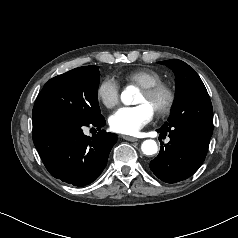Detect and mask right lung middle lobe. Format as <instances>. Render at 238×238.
Instances as JSON below:
<instances>
[{
    "label": "right lung middle lobe",
    "mask_w": 238,
    "mask_h": 238,
    "mask_svg": "<svg viewBox=\"0 0 238 238\" xmlns=\"http://www.w3.org/2000/svg\"><path fill=\"white\" fill-rule=\"evenodd\" d=\"M99 68L83 66L50 79L39 93L33 118L66 117L90 123L102 117L98 104Z\"/></svg>",
    "instance_id": "dd1d6c3e"
}]
</instances>
